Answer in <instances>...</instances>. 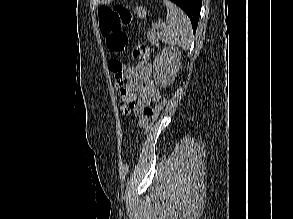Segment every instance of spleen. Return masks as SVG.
I'll return each instance as SVG.
<instances>
[{"label": "spleen", "instance_id": "3e777b00", "mask_svg": "<svg viewBox=\"0 0 293 219\" xmlns=\"http://www.w3.org/2000/svg\"><path fill=\"white\" fill-rule=\"evenodd\" d=\"M167 8L166 22L168 24L160 32L164 44L179 46L188 50L192 42V25L187 15L169 0H163Z\"/></svg>", "mask_w": 293, "mask_h": 219}]
</instances>
